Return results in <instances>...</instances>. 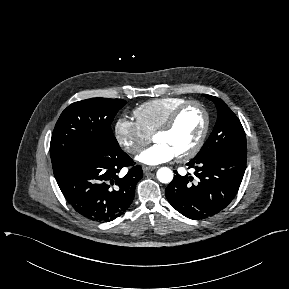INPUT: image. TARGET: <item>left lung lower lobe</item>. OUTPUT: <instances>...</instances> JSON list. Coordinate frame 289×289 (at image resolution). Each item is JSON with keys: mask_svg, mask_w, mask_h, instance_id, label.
<instances>
[{"mask_svg": "<svg viewBox=\"0 0 289 289\" xmlns=\"http://www.w3.org/2000/svg\"><path fill=\"white\" fill-rule=\"evenodd\" d=\"M246 151L220 152L202 160H191L197 180L176 171L165 195L170 204L190 219H203L224 209L235 197L246 168Z\"/></svg>", "mask_w": 289, "mask_h": 289, "instance_id": "1", "label": "left lung lower lobe"}]
</instances>
